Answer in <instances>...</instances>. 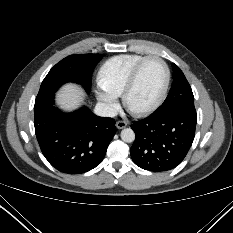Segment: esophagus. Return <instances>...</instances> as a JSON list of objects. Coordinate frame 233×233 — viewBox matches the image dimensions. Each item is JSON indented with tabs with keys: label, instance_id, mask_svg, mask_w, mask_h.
<instances>
[{
	"label": "esophagus",
	"instance_id": "obj_1",
	"mask_svg": "<svg viewBox=\"0 0 233 233\" xmlns=\"http://www.w3.org/2000/svg\"><path fill=\"white\" fill-rule=\"evenodd\" d=\"M126 126H127V122H125V121L120 120V121H117V122H116V127H117L118 129H123V128H125Z\"/></svg>",
	"mask_w": 233,
	"mask_h": 233
}]
</instances>
